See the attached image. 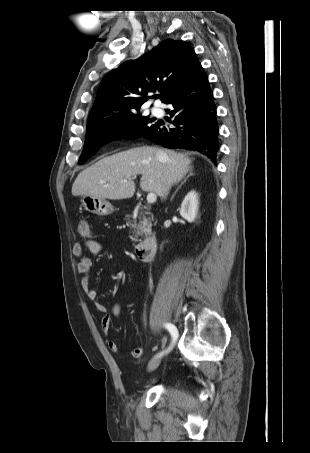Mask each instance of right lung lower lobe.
Masks as SVG:
<instances>
[{"instance_id": "right-lung-lower-lobe-1", "label": "right lung lower lobe", "mask_w": 310, "mask_h": 453, "mask_svg": "<svg viewBox=\"0 0 310 453\" xmlns=\"http://www.w3.org/2000/svg\"><path fill=\"white\" fill-rule=\"evenodd\" d=\"M213 100L208 78L200 67L166 102L173 106L167 111L171 116L175 115L172 121L175 128L158 121L143 137L167 148L196 150L216 162L219 128Z\"/></svg>"}]
</instances>
